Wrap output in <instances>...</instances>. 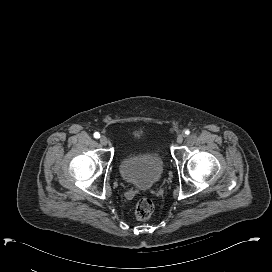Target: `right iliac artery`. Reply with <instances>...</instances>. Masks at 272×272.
<instances>
[{
	"mask_svg": "<svg viewBox=\"0 0 272 272\" xmlns=\"http://www.w3.org/2000/svg\"><path fill=\"white\" fill-rule=\"evenodd\" d=\"M94 137H95V138H100V134H99L98 132H95V133H94Z\"/></svg>",
	"mask_w": 272,
	"mask_h": 272,
	"instance_id": "1",
	"label": "right iliac artery"
}]
</instances>
